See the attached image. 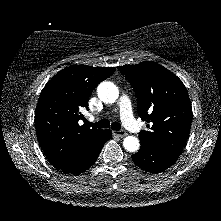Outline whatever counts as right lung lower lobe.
Returning a JSON list of instances; mask_svg holds the SVG:
<instances>
[{
	"instance_id": "obj_1",
	"label": "right lung lower lobe",
	"mask_w": 221,
	"mask_h": 221,
	"mask_svg": "<svg viewBox=\"0 0 221 221\" xmlns=\"http://www.w3.org/2000/svg\"><path fill=\"white\" fill-rule=\"evenodd\" d=\"M111 136L112 132L110 130H103L74 159L58 170L72 174H80L86 171L95 163L102 147Z\"/></svg>"
}]
</instances>
